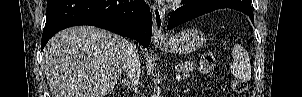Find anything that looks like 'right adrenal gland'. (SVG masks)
<instances>
[{"label":"right adrenal gland","instance_id":"obj_1","mask_svg":"<svg viewBox=\"0 0 302 97\" xmlns=\"http://www.w3.org/2000/svg\"><path fill=\"white\" fill-rule=\"evenodd\" d=\"M120 84H122L124 87H127V86L130 84V82H129V80L122 79V80L120 81Z\"/></svg>","mask_w":302,"mask_h":97}]
</instances>
